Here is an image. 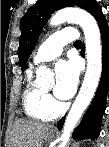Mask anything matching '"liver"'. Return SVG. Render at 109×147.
I'll use <instances>...</instances> for the list:
<instances>
[{
	"label": "liver",
	"mask_w": 109,
	"mask_h": 147,
	"mask_svg": "<svg viewBox=\"0 0 109 147\" xmlns=\"http://www.w3.org/2000/svg\"><path fill=\"white\" fill-rule=\"evenodd\" d=\"M51 125L32 120L14 122L9 147H42Z\"/></svg>",
	"instance_id": "1"
}]
</instances>
